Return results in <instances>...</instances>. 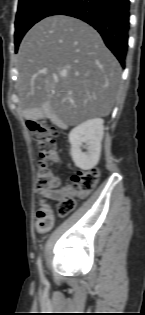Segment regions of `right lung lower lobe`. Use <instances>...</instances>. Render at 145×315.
<instances>
[{"label":"right lung lower lobe","instance_id":"1","mask_svg":"<svg viewBox=\"0 0 145 315\" xmlns=\"http://www.w3.org/2000/svg\"><path fill=\"white\" fill-rule=\"evenodd\" d=\"M52 15H67L93 26L122 66L128 49L129 0H66Z\"/></svg>","mask_w":145,"mask_h":315}]
</instances>
